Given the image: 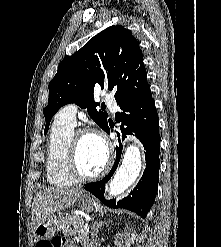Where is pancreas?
<instances>
[{"label": "pancreas", "instance_id": "cf45deb5", "mask_svg": "<svg viewBox=\"0 0 221 247\" xmlns=\"http://www.w3.org/2000/svg\"><path fill=\"white\" fill-rule=\"evenodd\" d=\"M58 231L63 232L65 236H74L82 246H89L88 229L84 220L79 216H69L60 219L56 225Z\"/></svg>", "mask_w": 221, "mask_h": 247}]
</instances>
